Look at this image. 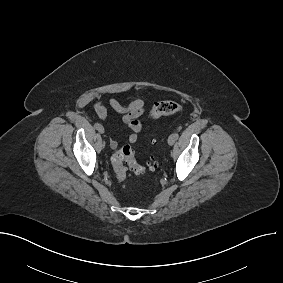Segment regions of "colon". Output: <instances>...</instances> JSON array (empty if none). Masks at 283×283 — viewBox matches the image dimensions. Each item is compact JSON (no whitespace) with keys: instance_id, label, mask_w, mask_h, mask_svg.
Wrapping results in <instances>:
<instances>
[{"instance_id":"colon-1","label":"colon","mask_w":283,"mask_h":283,"mask_svg":"<svg viewBox=\"0 0 283 283\" xmlns=\"http://www.w3.org/2000/svg\"><path fill=\"white\" fill-rule=\"evenodd\" d=\"M182 106L174 101H160L153 105L150 110V116L157 119L163 116L174 115L181 112ZM112 169L115 178L119 182H126L128 178V170L136 175L153 171L156 163L150 161L146 166L137 162L133 149L126 145L120 148L111 158Z\"/></svg>"}]
</instances>
